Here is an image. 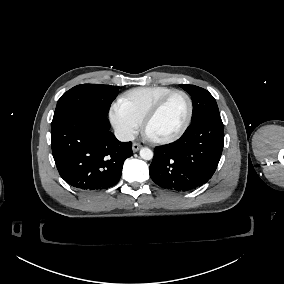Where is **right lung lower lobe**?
<instances>
[{"label":"right lung lower lobe","mask_w":284,"mask_h":284,"mask_svg":"<svg viewBox=\"0 0 284 284\" xmlns=\"http://www.w3.org/2000/svg\"><path fill=\"white\" fill-rule=\"evenodd\" d=\"M109 129L107 116L91 109L71 110L52 121L53 157L71 186L98 191L118 183L132 143L118 141Z\"/></svg>","instance_id":"1"}]
</instances>
